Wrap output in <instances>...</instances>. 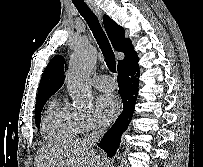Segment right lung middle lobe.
Masks as SVG:
<instances>
[{
  "label": "right lung middle lobe",
  "instance_id": "obj_1",
  "mask_svg": "<svg viewBox=\"0 0 203 167\" xmlns=\"http://www.w3.org/2000/svg\"><path fill=\"white\" fill-rule=\"evenodd\" d=\"M49 98H47V99H44V100H42V101H39V102H37L36 103V105H35V112H36V118H35V123H36V125H37V127L39 128V123H40V121H41V111H42V109H43V107H44V105H45V103H46V101L48 100Z\"/></svg>",
  "mask_w": 203,
  "mask_h": 167
}]
</instances>
